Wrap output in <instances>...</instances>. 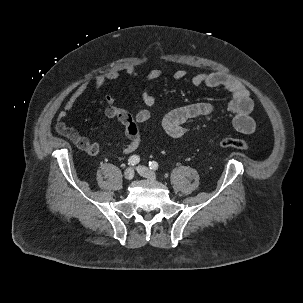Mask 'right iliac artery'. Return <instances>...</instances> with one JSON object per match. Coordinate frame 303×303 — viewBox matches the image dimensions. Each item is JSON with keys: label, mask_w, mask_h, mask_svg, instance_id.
<instances>
[{"label": "right iliac artery", "mask_w": 303, "mask_h": 303, "mask_svg": "<svg viewBox=\"0 0 303 303\" xmlns=\"http://www.w3.org/2000/svg\"><path fill=\"white\" fill-rule=\"evenodd\" d=\"M140 161V157L138 155H132L129 159H128V164L131 166H135L139 163Z\"/></svg>", "instance_id": "obj_1"}]
</instances>
